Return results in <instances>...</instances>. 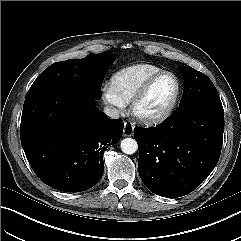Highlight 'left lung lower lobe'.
I'll return each instance as SVG.
<instances>
[{"label": "left lung lower lobe", "instance_id": "obj_1", "mask_svg": "<svg viewBox=\"0 0 241 241\" xmlns=\"http://www.w3.org/2000/svg\"><path fill=\"white\" fill-rule=\"evenodd\" d=\"M224 131L221 103L198 101L152 128H135L138 171L154 194L177 198L196 189L217 164Z\"/></svg>", "mask_w": 241, "mask_h": 241}]
</instances>
